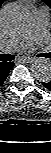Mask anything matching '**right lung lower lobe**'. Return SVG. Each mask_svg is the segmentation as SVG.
<instances>
[{"label": "right lung lower lobe", "mask_w": 51, "mask_h": 153, "mask_svg": "<svg viewBox=\"0 0 51 153\" xmlns=\"http://www.w3.org/2000/svg\"><path fill=\"white\" fill-rule=\"evenodd\" d=\"M13 66V62H3L0 64V86L4 83Z\"/></svg>", "instance_id": "98d812e1"}]
</instances>
